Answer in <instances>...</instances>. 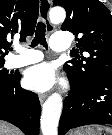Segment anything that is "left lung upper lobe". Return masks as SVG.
I'll return each instance as SVG.
<instances>
[{
	"mask_svg": "<svg viewBox=\"0 0 112 135\" xmlns=\"http://www.w3.org/2000/svg\"><path fill=\"white\" fill-rule=\"evenodd\" d=\"M54 4L67 12L61 29L75 34V52L85 51L90 55L77 56L78 59L68 61L64 69L80 82L112 74V15L109 9L99 0H54Z\"/></svg>",
	"mask_w": 112,
	"mask_h": 135,
	"instance_id": "left-lung-upper-lobe-1",
	"label": "left lung upper lobe"
}]
</instances>
